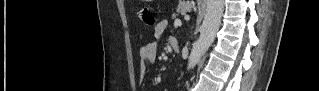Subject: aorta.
Listing matches in <instances>:
<instances>
[{
    "mask_svg": "<svg viewBox=\"0 0 319 91\" xmlns=\"http://www.w3.org/2000/svg\"><path fill=\"white\" fill-rule=\"evenodd\" d=\"M223 10L224 0H207L204 19L200 27V36L193 44L188 59V70L193 69L196 66L201 57L214 42L221 24Z\"/></svg>",
    "mask_w": 319,
    "mask_h": 91,
    "instance_id": "762f6f07",
    "label": "aorta"
}]
</instances>
